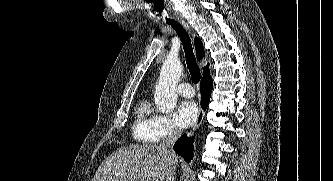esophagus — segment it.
Masks as SVG:
<instances>
[{
  "mask_svg": "<svg viewBox=\"0 0 333 181\" xmlns=\"http://www.w3.org/2000/svg\"><path fill=\"white\" fill-rule=\"evenodd\" d=\"M180 21L187 29H190L188 23L184 19L181 18ZM203 118H204V111L202 109H200L195 124L193 125L191 130L188 132L189 136L192 135L195 132V130L201 125Z\"/></svg>",
  "mask_w": 333,
  "mask_h": 181,
  "instance_id": "1",
  "label": "esophagus"
}]
</instances>
